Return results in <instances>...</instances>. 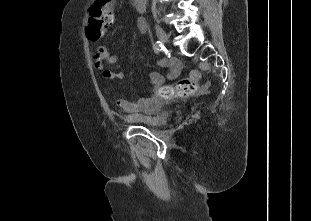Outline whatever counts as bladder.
<instances>
[{"instance_id":"31cf9c89","label":"bladder","mask_w":311,"mask_h":221,"mask_svg":"<svg viewBox=\"0 0 311 221\" xmlns=\"http://www.w3.org/2000/svg\"><path fill=\"white\" fill-rule=\"evenodd\" d=\"M163 102L150 104L145 111L132 114L137 119V123L146 126H162L168 121V114L165 113Z\"/></svg>"}]
</instances>
